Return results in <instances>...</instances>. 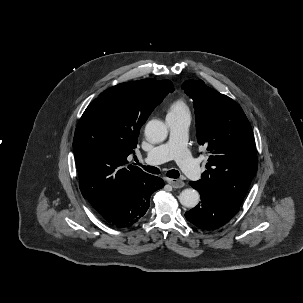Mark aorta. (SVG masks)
<instances>
[{
    "label": "aorta",
    "instance_id": "762f6f07",
    "mask_svg": "<svg viewBox=\"0 0 303 303\" xmlns=\"http://www.w3.org/2000/svg\"><path fill=\"white\" fill-rule=\"evenodd\" d=\"M168 134L166 125L157 119L150 120L145 126V136L151 143L163 142ZM200 195L197 190L189 188L179 195L180 203L187 208H194L199 203Z\"/></svg>",
    "mask_w": 303,
    "mask_h": 303
}]
</instances>
